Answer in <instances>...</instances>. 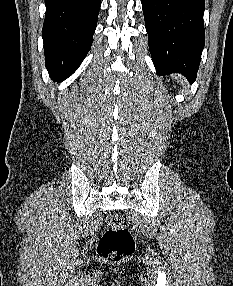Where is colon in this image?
Wrapping results in <instances>:
<instances>
[{"label":"colon","instance_id":"obj_1","mask_svg":"<svg viewBox=\"0 0 233 286\" xmlns=\"http://www.w3.org/2000/svg\"><path fill=\"white\" fill-rule=\"evenodd\" d=\"M134 249V237L123 218L118 214H111L107 218V228L97 246L99 256L108 262H119L129 257Z\"/></svg>","mask_w":233,"mask_h":286}]
</instances>
